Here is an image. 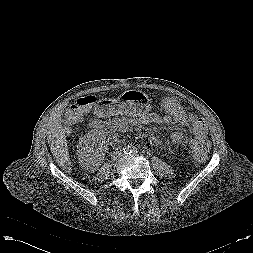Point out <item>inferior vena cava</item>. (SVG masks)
<instances>
[{
    "instance_id": "inferior-vena-cava-1",
    "label": "inferior vena cava",
    "mask_w": 253,
    "mask_h": 253,
    "mask_svg": "<svg viewBox=\"0 0 253 253\" xmlns=\"http://www.w3.org/2000/svg\"><path fill=\"white\" fill-rule=\"evenodd\" d=\"M122 157V153L121 152H116V153H114V155H113V159L114 160H118V159H120Z\"/></svg>"
}]
</instances>
